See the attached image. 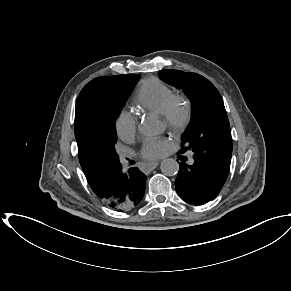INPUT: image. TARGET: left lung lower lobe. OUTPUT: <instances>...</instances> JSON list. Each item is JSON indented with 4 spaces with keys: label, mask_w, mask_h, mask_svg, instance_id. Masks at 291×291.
Instances as JSON below:
<instances>
[{
    "label": "left lung lower lobe",
    "mask_w": 291,
    "mask_h": 291,
    "mask_svg": "<svg viewBox=\"0 0 291 291\" xmlns=\"http://www.w3.org/2000/svg\"><path fill=\"white\" fill-rule=\"evenodd\" d=\"M228 173L229 171L207 161L194 158L192 165L180 164L175 188L185 202L203 205L215 199L222 189Z\"/></svg>",
    "instance_id": "1"
}]
</instances>
